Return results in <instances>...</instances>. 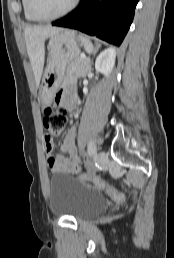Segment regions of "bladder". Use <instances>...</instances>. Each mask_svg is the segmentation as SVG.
I'll list each match as a JSON object with an SVG mask.
<instances>
[{"instance_id":"31cf9c89","label":"bladder","mask_w":174,"mask_h":258,"mask_svg":"<svg viewBox=\"0 0 174 258\" xmlns=\"http://www.w3.org/2000/svg\"><path fill=\"white\" fill-rule=\"evenodd\" d=\"M49 206L57 215L84 220L106 207L105 198L96 190L78 183L73 177L55 173L49 182Z\"/></svg>"}]
</instances>
